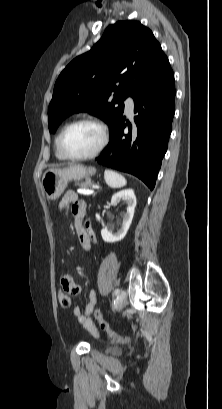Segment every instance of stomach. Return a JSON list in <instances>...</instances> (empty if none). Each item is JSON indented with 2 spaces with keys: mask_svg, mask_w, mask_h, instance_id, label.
Returning <instances> with one entry per match:
<instances>
[{
  "mask_svg": "<svg viewBox=\"0 0 222 409\" xmlns=\"http://www.w3.org/2000/svg\"><path fill=\"white\" fill-rule=\"evenodd\" d=\"M95 173V168L82 164H71L65 168H51L42 175V189L48 200H56L70 181H81Z\"/></svg>",
  "mask_w": 222,
  "mask_h": 409,
  "instance_id": "stomach-1",
  "label": "stomach"
}]
</instances>
